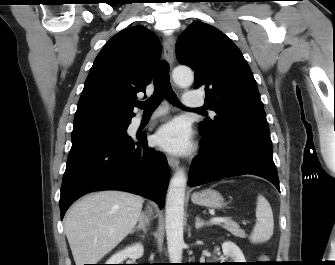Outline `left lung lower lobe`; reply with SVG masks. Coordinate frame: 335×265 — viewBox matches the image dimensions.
Here are the masks:
<instances>
[{
	"label": "left lung lower lobe",
	"instance_id": "obj_1",
	"mask_svg": "<svg viewBox=\"0 0 335 265\" xmlns=\"http://www.w3.org/2000/svg\"><path fill=\"white\" fill-rule=\"evenodd\" d=\"M201 134L203 151L193 160L189 170L190 187L252 174L267 179L280 191L271 141L229 132Z\"/></svg>",
	"mask_w": 335,
	"mask_h": 265
}]
</instances>
